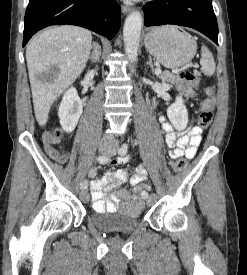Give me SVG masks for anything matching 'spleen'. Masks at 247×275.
<instances>
[{"mask_svg":"<svg viewBox=\"0 0 247 275\" xmlns=\"http://www.w3.org/2000/svg\"><path fill=\"white\" fill-rule=\"evenodd\" d=\"M200 64L202 66L203 73L207 76H211L215 72V62L212 53L209 49L203 45L201 48Z\"/></svg>","mask_w":247,"mask_h":275,"instance_id":"spleen-1","label":"spleen"}]
</instances>
